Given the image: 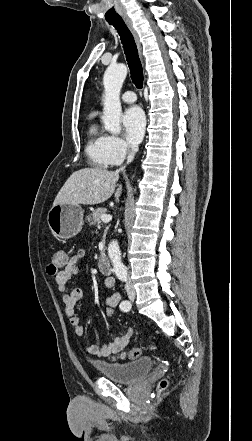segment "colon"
I'll return each instance as SVG.
<instances>
[{
    "instance_id": "1",
    "label": "colon",
    "mask_w": 252,
    "mask_h": 441,
    "mask_svg": "<svg viewBox=\"0 0 252 441\" xmlns=\"http://www.w3.org/2000/svg\"><path fill=\"white\" fill-rule=\"evenodd\" d=\"M69 262L68 254L62 250L58 249L56 250L51 257V261L47 266V271L49 274H57L60 270L65 268ZM116 307L112 305H105L102 315L105 318H112L115 314ZM152 349H155V347H152ZM140 355V349L136 347L129 348L126 351L120 352L117 355H114V358L125 360V359H135ZM166 381H162L159 384V389L162 390L166 387Z\"/></svg>"
}]
</instances>
